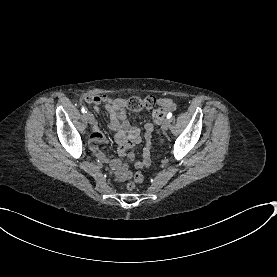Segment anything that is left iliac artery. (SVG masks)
Returning a JSON list of instances; mask_svg holds the SVG:
<instances>
[{
	"instance_id": "44dca946",
	"label": "left iliac artery",
	"mask_w": 277,
	"mask_h": 277,
	"mask_svg": "<svg viewBox=\"0 0 277 277\" xmlns=\"http://www.w3.org/2000/svg\"><path fill=\"white\" fill-rule=\"evenodd\" d=\"M171 117H172V113L169 112V113L167 114V119H170Z\"/></svg>"
}]
</instances>
